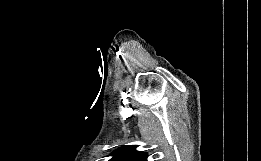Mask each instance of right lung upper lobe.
Masks as SVG:
<instances>
[{"label":"right lung upper lobe","instance_id":"right-lung-upper-lobe-1","mask_svg":"<svg viewBox=\"0 0 261 161\" xmlns=\"http://www.w3.org/2000/svg\"><path fill=\"white\" fill-rule=\"evenodd\" d=\"M109 161H147V153L135 150V146H124L113 152Z\"/></svg>","mask_w":261,"mask_h":161}]
</instances>
